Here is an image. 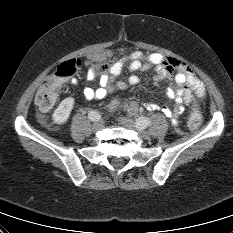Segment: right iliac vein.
I'll return each instance as SVG.
<instances>
[{"label":"right iliac vein","instance_id":"63e3f726","mask_svg":"<svg viewBox=\"0 0 233 233\" xmlns=\"http://www.w3.org/2000/svg\"><path fill=\"white\" fill-rule=\"evenodd\" d=\"M103 122L101 120H96L92 126V129L94 131H98V130H101L103 128Z\"/></svg>","mask_w":233,"mask_h":233}]
</instances>
